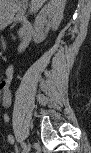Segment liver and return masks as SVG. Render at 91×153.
<instances>
[{"mask_svg":"<svg viewBox=\"0 0 91 153\" xmlns=\"http://www.w3.org/2000/svg\"><path fill=\"white\" fill-rule=\"evenodd\" d=\"M46 0H31L30 10L31 12L38 11Z\"/></svg>","mask_w":91,"mask_h":153,"instance_id":"liver-1","label":"liver"}]
</instances>
